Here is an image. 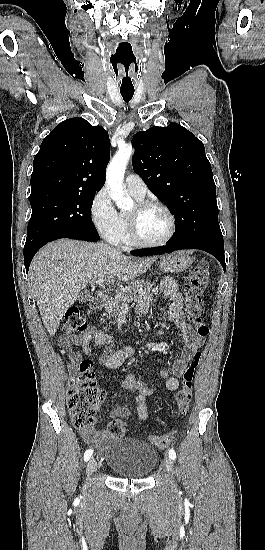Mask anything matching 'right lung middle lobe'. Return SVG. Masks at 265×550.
Returning <instances> with one entry per match:
<instances>
[{"label":"right lung middle lobe","instance_id":"obj_1","mask_svg":"<svg viewBox=\"0 0 265 550\" xmlns=\"http://www.w3.org/2000/svg\"><path fill=\"white\" fill-rule=\"evenodd\" d=\"M95 194L55 190L31 192L32 215L28 223L24 251L62 232L98 235L92 223L91 206Z\"/></svg>","mask_w":265,"mask_h":550}]
</instances>
